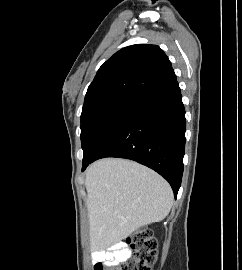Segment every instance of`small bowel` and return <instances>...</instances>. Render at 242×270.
I'll list each match as a JSON object with an SVG mask.
<instances>
[{"mask_svg":"<svg viewBox=\"0 0 242 270\" xmlns=\"http://www.w3.org/2000/svg\"><path fill=\"white\" fill-rule=\"evenodd\" d=\"M131 251L123 243L115 244L109 251H99L94 254V263H100L104 270L113 268L126 260Z\"/></svg>","mask_w":242,"mask_h":270,"instance_id":"obj_1","label":"small bowel"}]
</instances>
